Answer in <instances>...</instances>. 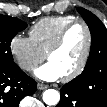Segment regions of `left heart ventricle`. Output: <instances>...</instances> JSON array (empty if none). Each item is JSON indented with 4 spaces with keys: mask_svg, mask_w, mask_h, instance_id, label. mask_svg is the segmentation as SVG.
I'll return each mask as SVG.
<instances>
[{
    "mask_svg": "<svg viewBox=\"0 0 107 107\" xmlns=\"http://www.w3.org/2000/svg\"><path fill=\"white\" fill-rule=\"evenodd\" d=\"M86 45V32L81 25L70 29L62 47L54 52L49 61L54 63L62 76L71 73L79 64Z\"/></svg>",
    "mask_w": 107,
    "mask_h": 107,
    "instance_id": "obj_1",
    "label": "left heart ventricle"
}]
</instances>
